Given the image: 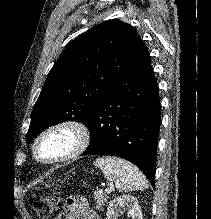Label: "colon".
Returning a JSON list of instances; mask_svg holds the SVG:
<instances>
[{
  "instance_id": "1",
  "label": "colon",
  "mask_w": 211,
  "mask_h": 219,
  "mask_svg": "<svg viewBox=\"0 0 211 219\" xmlns=\"http://www.w3.org/2000/svg\"><path fill=\"white\" fill-rule=\"evenodd\" d=\"M56 192L55 195H36L31 198L30 206L40 219H49L59 208L60 189H56Z\"/></svg>"
}]
</instances>
